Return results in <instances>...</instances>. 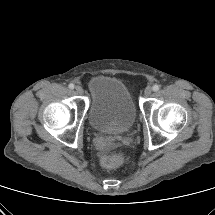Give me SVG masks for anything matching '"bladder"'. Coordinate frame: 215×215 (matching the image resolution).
<instances>
[{
    "label": "bladder",
    "instance_id": "obj_1",
    "mask_svg": "<svg viewBox=\"0 0 215 215\" xmlns=\"http://www.w3.org/2000/svg\"><path fill=\"white\" fill-rule=\"evenodd\" d=\"M90 125L105 134H123L135 122L136 106L127 87L118 79L97 75L88 82Z\"/></svg>",
    "mask_w": 215,
    "mask_h": 215
}]
</instances>
